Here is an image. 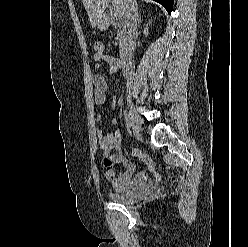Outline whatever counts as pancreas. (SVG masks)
<instances>
[{"label": "pancreas", "instance_id": "1", "mask_svg": "<svg viewBox=\"0 0 248 247\" xmlns=\"http://www.w3.org/2000/svg\"><path fill=\"white\" fill-rule=\"evenodd\" d=\"M113 26L117 29V41L119 42V53L123 57L128 49L129 38L122 18L113 21Z\"/></svg>", "mask_w": 248, "mask_h": 247}]
</instances>
